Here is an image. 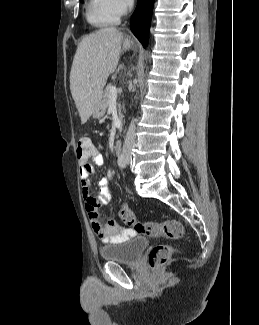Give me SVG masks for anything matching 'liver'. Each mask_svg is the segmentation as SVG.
<instances>
[{"label":"liver","instance_id":"liver-1","mask_svg":"<svg viewBox=\"0 0 259 325\" xmlns=\"http://www.w3.org/2000/svg\"><path fill=\"white\" fill-rule=\"evenodd\" d=\"M131 45L133 41L124 38L115 27L100 29L79 43L70 72V89L82 124L101 101L103 88L118 65L121 50H129Z\"/></svg>","mask_w":259,"mask_h":325}]
</instances>
